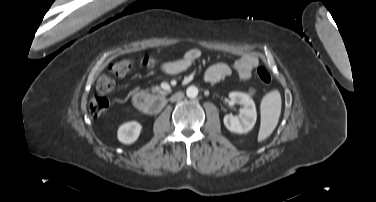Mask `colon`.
I'll list each match as a JSON object with an SVG mask.
<instances>
[{
	"mask_svg": "<svg viewBox=\"0 0 376 202\" xmlns=\"http://www.w3.org/2000/svg\"><path fill=\"white\" fill-rule=\"evenodd\" d=\"M156 59L146 56L141 60V64L146 67L155 65ZM133 67V61L129 59L121 60L110 65L109 73L101 75L96 83V90L100 95H94L89 102V111L92 117H99L108 108V100L101 96L110 92L115 85L114 77L126 75ZM258 80L263 84H269L272 80L270 71L263 66L258 67L256 72Z\"/></svg>",
	"mask_w": 376,
	"mask_h": 202,
	"instance_id": "colon-1",
	"label": "colon"
}]
</instances>
